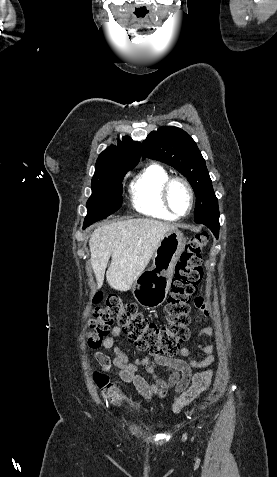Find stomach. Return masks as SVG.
Masks as SVG:
<instances>
[{"label":"stomach","instance_id":"obj_1","mask_svg":"<svg viewBox=\"0 0 277 477\" xmlns=\"http://www.w3.org/2000/svg\"><path fill=\"white\" fill-rule=\"evenodd\" d=\"M186 238L179 230L164 235L157 246L152 266L143 271L132 285V293L138 304L156 308L166 300L174 267L184 251Z\"/></svg>","mask_w":277,"mask_h":477}]
</instances>
